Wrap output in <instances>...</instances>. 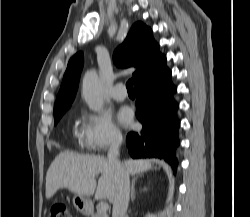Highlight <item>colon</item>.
Instances as JSON below:
<instances>
[{
    "mask_svg": "<svg viewBox=\"0 0 250 217\" xmlns=\"http://www.w3.org/2000/svg\"><path fill=\"white\" fill-rule=\"evenodd\" d=\"M48 217H72L67 205L55 203L51 206Z\"/></svg>",
    "mask_w": 250,
    "mask_h": 217,
    "instance_id": "5ec220e1",
    "label": "colon"
}]
</instances>
